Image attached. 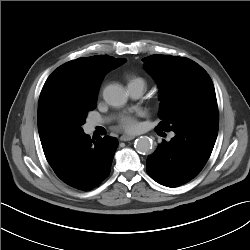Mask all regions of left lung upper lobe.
Returning a JSON list of instances; mask_svg holds the SVG:
<instances>
[{
  "mask_svg": "<svg viewBox=\"0 0 250 250\" xmlns=\"http://www.w3.org/2000/svg\"><path fill=\"white\" fill-rule=\"evenodd\" d=\"M144 68L158 83L159 117L156 129L178 131L219 125L215 89L207 72L194 61L170 55L143 59Z\"/></svg>",
  "mask_w": 250,
  "mask_h": 250,
  "instance_id": "1",
  "label": "left lung upper lobe"
}]
</instances>
